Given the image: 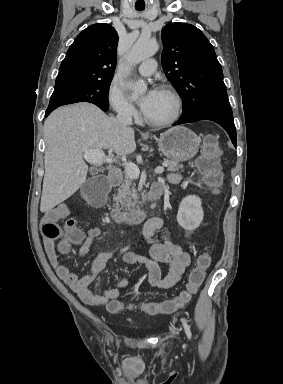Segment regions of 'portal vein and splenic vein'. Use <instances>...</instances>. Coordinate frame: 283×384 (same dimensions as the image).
Listing matches in <instances>:
<instances>
[{"instance_id":"portal-vein-and-splenic-vein-1","label":"portal vein and splenic vein","mask_w":283,"mask_h":384,"mask_svg":"<svg viewBox=\"0 0 283 384\" xmlns=\"http://www.w3.org/2000/svg\"><path fill=\"white\" fill-rule=\"evenodd\" d=\"M83 158L89 162V164H103V162H107V164H113L115 160L113 158H107L105 156L103 150H86L83 154ZM125 168V172L131 180H137L139 178L140 170L136 164H132V162H126L123 164ZM164 172V168H155V174H162Z\"/></svg>"}]
</instances>
